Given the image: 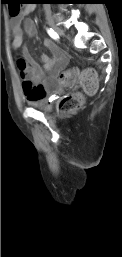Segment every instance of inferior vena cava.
Here are the masks:
<instances>
[{
	"mask_svg": "<svg viewBox=\"0 0 122 257\" xmlns=\"http://www.w3.org/2000/svg\"><path fill=\"white\" fill-rule=\"evenodd\" d=\"M45 8H49V5H48V4H45Z\"/></svg>",
	"mask_w": 122,
	"mask_h": 257,
	"instance_id": "1",
	"label": "inferior vena cava"
}]
</instances>
